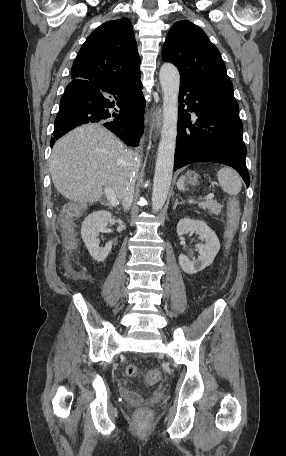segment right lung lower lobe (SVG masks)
<instances>
[{"instance_id":"right-lung-lower-lobe-1","label":"right lung lower lobe","mask_w":286,"mask_h":456,"mask_svg":"<svg viewBox=\"0 0 286 456\" xmlns=\"http://www.w3.org/2000/svg\"><path fill=\"white\" fill-rule=\"evenodd\" d=\"M145 101L140 78L112 88L72 80L61 98L51 146L75 127L100 122L130 146H138L144 130Z\"/></svg>"}]
</instances>
